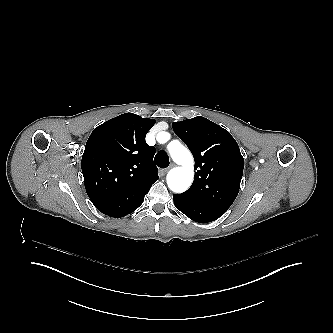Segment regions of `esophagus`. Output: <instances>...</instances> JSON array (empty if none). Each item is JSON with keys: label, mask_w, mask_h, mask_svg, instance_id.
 Masks as SVG:
<instances>
[{"label": "esophagus", "mask_w": 333, "mask_h": 333, "mask_svg": "<svg viewBox=\"0 0 333 333\" xmlns=\"http://www.w3.org/2000/svg\"><path fill=\"white\" fill-rule=\"evenodd\" d=\"M175 166L174 163H172L170 166H168L164 171L163 173H167L170 169H172L173 167Z\"/></svg>", "instance_id": "obj_1"}]
</instances>
